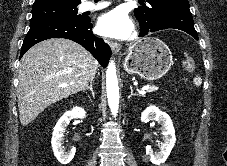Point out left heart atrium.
I'll return each mask as SVG.
<instances>
[{
	"label": "left heart atrium",
	"mask_w": 227,
	"mask_h": 166,
	"mask_svg": "<svg viewBox=\"0 0 227 166\" xmlns=\"http://www.w3.org/2000/svg\"><path fill=\"white\" fill-rule=\"evenodd\" d=\"M132 21L126 12L115 9L102 15L97 24L100 35L110 38H123L130 34Z\"/></svg>",
	"instance_id": "1"
}]
</instances>
